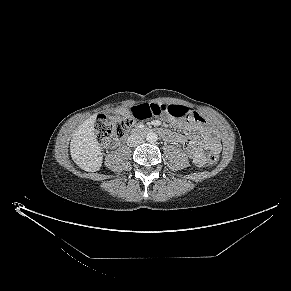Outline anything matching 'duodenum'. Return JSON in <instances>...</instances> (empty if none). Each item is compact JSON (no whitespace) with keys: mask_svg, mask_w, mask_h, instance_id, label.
<instances>
[{"mask_svg":"<svg viewBox=\"0 0 291 291\" xmlns=\"http://www.w3.org/2000/svg\"><path fill=\"white\" fill-rule=\"evenodd\" d=\"M137 133H139V134H150V133H152V130H150V129H139L137 131Z\"/></svg>","mask_w":291,"mask_h":291,"instance_id":"duodenum-1","label":"duodenum"}]
</instances>
